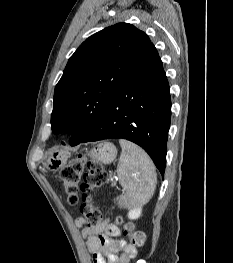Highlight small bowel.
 <instances>
[{
  "label": "small bowel",
  "instance_id": "small-bowel-1",
  "mask_svg": "<svg viewBox=\"0 0 233 263\" xmlns=\"http://www.w3.org/2000/svg\"><path fill=\"white\" fill-rule=\"evenodd\" d=\"M75 225L82 228L93 263H130L136 257V249L121 238L120 229L108 220L88 226L84 218L78 217Z\"/></svg>",
  "mask_w": 233,
  "mask_h": 263
}]
</instances>
